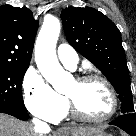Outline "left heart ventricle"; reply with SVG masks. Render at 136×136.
<instances>
[{
	"mask_svg": "<svg viewBox=\"0 0 136 136\" xmlns=\"http://www.w3.org/2000/svg\"><path fill=\"white\" fill-rule=\"evenodd\" d=\"M86 116L98 118L106 115L112 105L111 96L106 86L99 81H90L83 84L75 80L65 91Z\"/></svg>",
	"mask_w": 136,
	"mask_h": 136,
	"instance_id": "b2bd125f",
	"label": "left heart ventricle"
}]
</instances>
